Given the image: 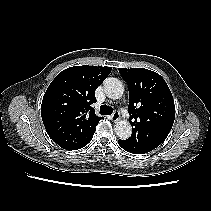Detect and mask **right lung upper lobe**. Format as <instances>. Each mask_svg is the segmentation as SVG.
I'll return each mask as SVG.
<instances>
[{"label": "right lung upper lobe", "mask_w": 211, "mask_h": 211, "mask_svg": "<svg viewBox=\"0 0 211 211\" xmlns=\"http://www.w3.org/2000/svg\"><path fill=\"white\" fill-rule=\"evenodd\" d=\"M111 67L75 66L63 70L46 90L41 116L50 138L66 150H77L92 139L102 119L92 108L95 90Z\"/></svg>", "instance_id": "1"}]
</instances>
